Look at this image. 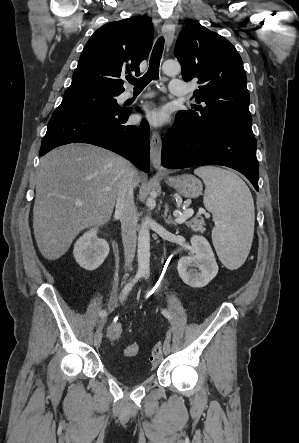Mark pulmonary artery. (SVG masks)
Wrapping results in <instances>:
<instances>
[{"instance_id": "e3ab8cb5", "label": "pulmonary artery", "mask_w": 299, "mask_h": 443, "mask_svg": "<svg viewBox=\"0 0 299 443\" xmlns=\"http://www.w3.org/2000/svg\"><path fill=\"white\" fill-rule=\"evenodd\" d=\"M169 89H170L171 94L175 95V96H184L188 92L186 85L181 80H178V79H172L170 81ZM132 97H133V95L129 92L124 94L125 99H129Z\"/></svg>"}]
</instances>
